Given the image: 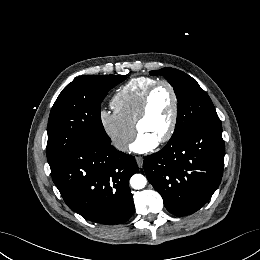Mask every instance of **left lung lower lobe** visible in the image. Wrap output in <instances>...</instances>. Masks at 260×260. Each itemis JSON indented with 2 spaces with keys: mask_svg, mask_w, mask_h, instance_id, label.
<instances>
[{
  "mask_svg": "<svg viewBox=\"0 0 260 260\" xmlns=\"http://www.w3.org/2000/svg\"><path fill=\"white\" fill-rule=\"evenodd\" d=\"M224 153L221 122L203 123L146 156L144 170L167 210L185 216L199 210L218 188Z\"/></svg>",
  "mask_w": 260,
  "mask_h": 260,
  "instance_id": "obj_1",
  "label": "left lung lower lobe"
}]
</instances>
